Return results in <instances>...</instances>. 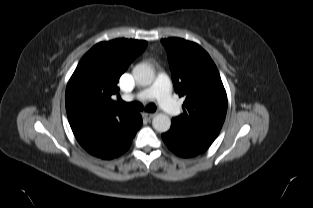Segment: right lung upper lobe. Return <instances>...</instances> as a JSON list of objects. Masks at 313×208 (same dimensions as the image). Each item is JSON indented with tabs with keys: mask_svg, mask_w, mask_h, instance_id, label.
Segmentation results:
<instances>
[{
	"mask_svg": "<svg viewBox=\"0 0 313 208\" xmlns=\"http://www.w3.org/2000/svg\"><path fill=\"white\" fill-rule=\"evenodd\" d=\"M146 47V41L123 38L93 46L67 84L65 103L69 123L106 117L125 119L133 114L111 96L119 91L120 76Z\"/></svg>",
	"mask_w": 313,
	"mask_h": 208,
	"instance_id": "cb5924a9",
	"label": "right lung upper lobe"
}]
</instances>
